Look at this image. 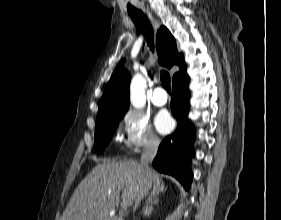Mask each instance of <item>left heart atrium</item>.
Segmentation results:
<instances>
[{
  "mask_svg": "<svg viewBox=\"0 0 281 220\" xmlns=\"http://www.w3.org/2000/svg\"><path fill=\"white\" fill-rule=\"evenodd\" d=\"M155 126L161 134L169 133L174 127V121L166 110H161L155 117Z\"/></svg>",
  "mask_w": 281,
  "mask_h": 220,
  "instance_id": "left-heart-atrium-1",
  "label": "left heart atrium"
}]
</instances>
